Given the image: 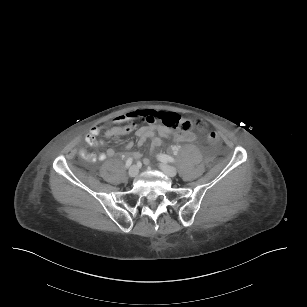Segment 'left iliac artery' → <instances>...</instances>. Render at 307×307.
Wrapping results in <instances>:
<instances>
[{
    "label": "left iliac artery",
    "instance_id": "obj_1",
    "mask_svg": "<svg viewBox=\"0 0 307 307\" xmlns=\"http://www.w3.org/2000/svg\"><path fill=\"white\" fill-rule=\"evenodd\" d=\"M158 159L161 162H164V163H167V162L175 163V159L173 157H171V156L166 155V154L158 155Z\"/></svg>",
    "mask_w": 307,
    "mask_h": 307
}]
</instances>
